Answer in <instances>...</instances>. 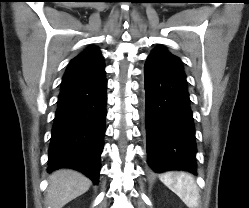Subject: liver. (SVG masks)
Masks as SVG:
<instances>
[{"label":"liver","mask_w":249,"mask_h":208,"mask_svg":"<svg viewBox=\"0 0 249 208\" xmlns=\"http://www.w3.org/2000/svg\"><path fill=\"white\" fill-rule=\"evenodd\" d=\"M91 181L83 174L71 170L60 169L49 176L47 204L52 208L64 205L88 191Z\"/></svg>","instance_id":"liver-1"}]
</instances>
